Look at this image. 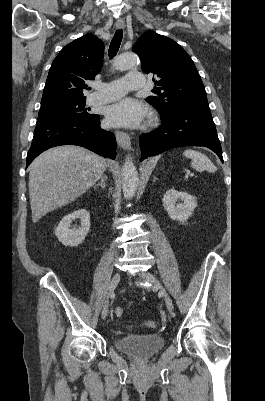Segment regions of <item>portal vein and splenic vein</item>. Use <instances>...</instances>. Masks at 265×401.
I'll use <instances>...</instances> for the list:
<instances>
[{
    "label": "portal vein and splenic vein",
    "mask_w": 265,
    "mask_h": 401,
    "mask_svg": "<svg viewBox=\"0 0 265 401\" xmlns=\"http://www.w3.org/2000/svg\"><path fill=\"white\" fill-rule=\"evenodd\" d=\"M186 176H193V172H190V170H187Z\"/></svg>",
    "instance_id": "portal-vein-and-splenic-vein-1"
}]
</instances>
